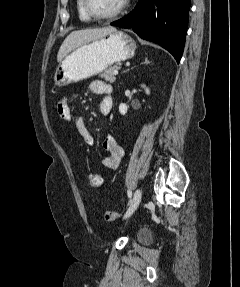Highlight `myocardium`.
<instances>
[{"label": "myocardium", "instance_id": "1", "mask_svg": "<svg viewBox=\"0 0 240 287\" xmlns=\"http://www.w3.org/2000/svg\"><path fill=\"white\" fill-rule=\"evenodd\" d=\"M129 0H122L120 5L108 14H99L92 6L91 0H84V8L87 14L95 20H110L120 15L128 6Z\"/></svg>", "mask_w": 240, "mask_h": 287}]
</instances>
